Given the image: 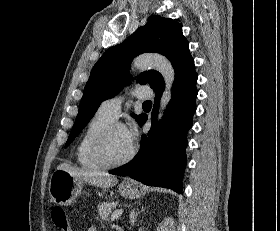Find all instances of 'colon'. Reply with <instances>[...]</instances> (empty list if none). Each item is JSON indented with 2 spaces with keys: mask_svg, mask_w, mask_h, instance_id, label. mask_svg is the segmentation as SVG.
I'll use <instances>...</instances> for the list:
<instances>
[{
  "mask_svg": "<svg viewBox=\"0 0 280 231\" xmlns=\"http://www.w3.org/2000/svg\"><path fill=\"white\" fill-rule=\"evenodd\" d=\"M66 216L61 208L51 209V220H54V225H59V231H72L73 225H67Z\"/></svg>",
  "mask_w": 280,
  "mask_h": 231,
  "instance_id": "colon-1",
  "label": "colon"
}]
</instances>
